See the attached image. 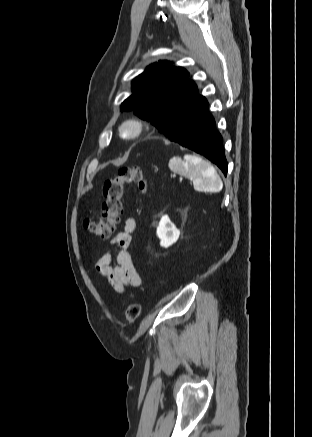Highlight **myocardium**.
<instances>
[{
  "label": "myocardium",
  "instance_id": "1",
  "mask_svg": "<svg viewBox=\"0 0 312 437\" xmlns=\"http://www.w3.org/2000/svg\"><path fill=\"white\" fill-rule=\"evenodd\" d=\"M144 130V122L138 117L125 119L119 126V133L123 139L133 140L138 138Z\"/></svg>",
  "mask_w": 312,
  "mask_h": 437
}]
</instances>
